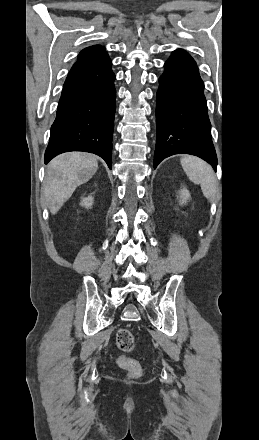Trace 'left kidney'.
<instances>
[{
	"label": "left kidney",
	"mask_w": 259,
	"mask_h": 440,
	"mask_svg": "<svg viewBox=\"0 0 259 440\" xmlns=\"http://www.w3.org/2000/svg\"><path fill=\"white\" fill-rule=\"evenodd\" d=\"M190 198H191V195H190V192L188 191V189L182 188L179 191V202H180L179 204L180 205L186 204L187 201L190 200Z\"/></svg>",
	"instance_id": "1"
}]
</instances>
